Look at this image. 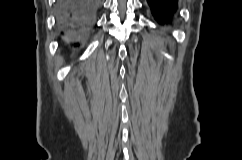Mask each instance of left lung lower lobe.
Here are the masks:
<instances>
[{
	"instance_id": "1",
	"label": "left lung lower lobe",
	"mask_w": 242,
	"mask_h": 160,
	"mask_svg": "<svg viewBox=\"0 0 242 160\" xmlns=\"http://www.w3.org/2000/svg\"><path fill=\"white\" fill-rule=\"evenodd\" d=\"M154 18L161 24L168 23L178 8V0H147Z\"/></svg>"
}]
</instances>
